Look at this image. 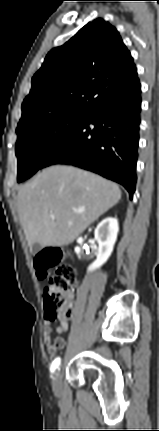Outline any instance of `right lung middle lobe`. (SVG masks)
I'll list each match as a JSON object with an SVG mask.
<instances>
[{
    "label": "right lung middle lobe",
    "mask_w": 159,
    "mask_h": 431,
    "mask_svg": "<svg viewBox=\"0 0 159 431\" xmlns=\"http://www.w3.org/2000/svg\"><path fill=\"white\" fill-rule=\"evenodd\" d=\"M86 112L66 111L45 117L17 130V181L22 182L43 167L46 157L87 117Z\"/></svg>",
    "instance_id": "dd1d6c3e"
}]
</instances>
